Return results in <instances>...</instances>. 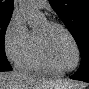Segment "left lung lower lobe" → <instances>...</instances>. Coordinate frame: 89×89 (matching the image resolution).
Listing matches in <instances>:
<instances>
[{
	"mask_svg": "<svg viewBox=\"0 0 89 89\" xmlns=\"http://www.w3.org/2000/svg\"><path fill=\"white\" fill-rule=\"evenodd\" d=\"M89 58L81 60L79 69L71 76L72 79L89 82Z\"/></svg>",
	"mask_w": 89,
	"mask_h": 89,
	"instance_id": "obj_1",
	"label": "left lung lower lobe"
}]
</instances>
